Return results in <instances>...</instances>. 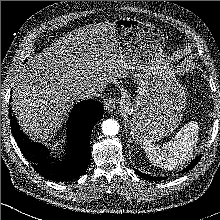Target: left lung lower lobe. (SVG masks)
Listing matches in <instances>:
<instances>
[{"instance_id":"0a47b994","label":"left lung lower lobe","mask_w":220,"mask_h":220,"mask_svg":"<svg viewBox=\"0 0 220 220\" xmlns=\"http://www.w3.org/2000/svg\"><path fill=\"white\" fill-rule=\"evenodd\" d=\"M200 158H201V156H197V157L190 163L189 166H187L185 169L182 170V173H184V172H186V171L192 169V168L199 162ZM136 173H137L140 177H142V178H144V179H146V180H150V181H152V180H153V181H161V180L166 179V177H153V176L144 174V173H142V172H139V171H137V170H136Z\"/></svg>"}]
</instances>
